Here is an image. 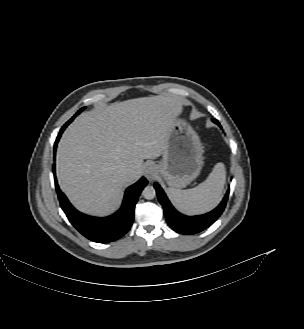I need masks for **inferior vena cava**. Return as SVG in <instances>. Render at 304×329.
<instances>
[{
	"label": "inferior vena cava",
	"instance_id": "inferior-vena-cava-1",
	"mask_svg": "<svg viewBox=\"0 0 304 329\" xmlns=\"http://www.w3.org/2000/svg\"><path fill=\"white\" fill-rule=\"evenodd\" d=\"M130 173H131V169L129 167L124 166V167L120 168V174L124 178H127Z\"/></svg>",
	"mask_w": 304,
	"mask_h": 329
}]
</instances>
